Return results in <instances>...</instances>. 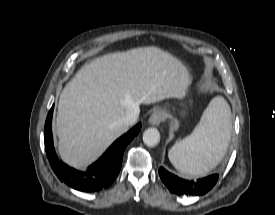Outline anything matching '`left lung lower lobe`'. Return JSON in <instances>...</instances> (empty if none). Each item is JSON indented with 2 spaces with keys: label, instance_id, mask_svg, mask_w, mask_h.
<instances>
[{
  "label": "left lung lower lobe",
  "instance_id": "left-lung-lower-lobe-1",
  "mask_svg": "<svg viewBox=\"0 0 275 215\" xmlns=\"http://www.w3.org/2000/svg\"><path fill=\"white\" fill-rule=\"evenodd\" d=\"M159 175L167 188L177 195H204L219 178L218 174H213L195 181L185 180L168 172L163 167L159 168Z\"/></svg>",
  "mask_w": 275,
  "mask_h": 215
}]
</instances>
